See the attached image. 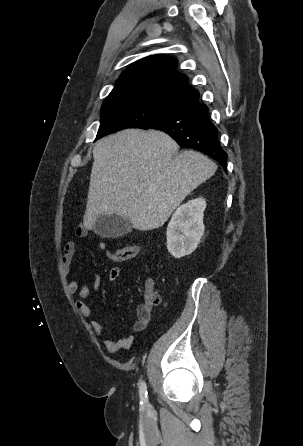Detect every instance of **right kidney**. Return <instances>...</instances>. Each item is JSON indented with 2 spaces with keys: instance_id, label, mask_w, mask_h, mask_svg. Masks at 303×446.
Returning a JSON list of instances; mask_svg holds the SVG:
<instances>
[{
  "instance_id": "ca27d5eb",
  "label": "right kidney",
  "mask_w": 303,
  "mask_h": 446,
  "mask_svg": "<svg viewBox=\"0 0 303 446\" xmlns=\"http://www.w3.org/2000/svg\"><path fill=\"white\" fill-rule=\"evenodd\" d=\"M204 198H196L181 205L172 215L167 227V249L176 259L190 255L197 248L204 233Z\"/></svg>"
}]
</instances>
